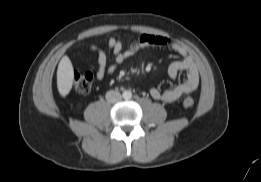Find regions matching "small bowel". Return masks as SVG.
Instances as JSON below:
<instances>
[{
	"label": "small bowel",
	"instance_id": "1",
	"mask_svg": "<svg viewBox=\"0 0 261 182\" xmlns=\"http://www.w3.org/2000/svg\"><path fill=\"white\" fill-rule=\"evenodd\" d=\"M147 47L168 48L181 56L180 60L169 65L168 74L170 78L176 79L180 72H186V79L182 83L164 90L152 88L150 95L153 99L169 103L184 94L194 92L198 88L199 69L188 50L176 41L154 34H142L133 40L128 47H124L119 39L113 37L107 42V50L96 44L91 45V51L97 55L96 79L101 81L106 76L113 74L124 61L134 56L140 49ZM108 53L112 54L111 63H109Z\"/></svg>",
	"mask_w": 261,
	"mask_h": 182
}]
</instances>
